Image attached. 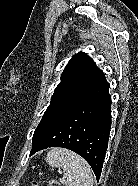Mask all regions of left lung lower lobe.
I'll return each mask as SVG.
<instances>
[{
    "instance_id": "obj_1",
    "label": "left lung lower lobe",
    "mask_w": 138,
    "mask_h": 186,
    "mask_svg": "<svg viewBox=\"0 0 138 186\" xmlns=\"http://www.w3.org/2000/svg\"><path fill=\"white\" fill-rule=\"evenodd\" d=\"M105 80L32 144L30 155L63 147L81 155L99 180L111 128V96Z\"/></svg>"
}]
</instances>
